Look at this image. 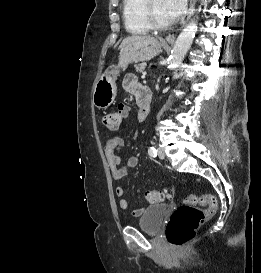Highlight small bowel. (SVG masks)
<instances>
[{"label":"small bowel","mask_w":261,"mask_h":273,"mask_svg":"<svg viewBox=\"0 0 261 273\" xmlns=\"http://www.w3.org/2000/svg\"><path fill=\"white\" fill-rule=\"evenodd\" d=\"M123 87L128 93L134 95L136 100H138V98L142 95L143 89H147L138 82L137 77L134 74H126L124 76ZM118 110L123 113L122 118L128 117L130 109L127 105L119 104ZM136 138L137 135L135 136V139ZM123 147L124 141L118 136L107 139L104 146V153L110 167L111 176L115 181L122 180L128 174L130 169L137 167L139 164V158L136 156H130L124 164H121L122 160L120 152ZM115 192L116 195L120 197V208L122 210H126L129 207V201L125 197V189L122 186H117ZM143 210L144 208L136 209L133 211V215L140 216Z\"/></svg>","instance_id":"obj_1"}]
</instances>
